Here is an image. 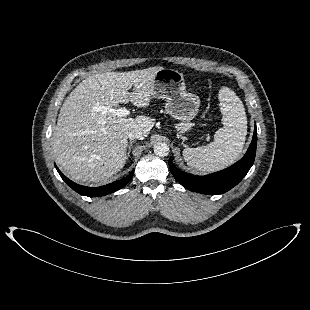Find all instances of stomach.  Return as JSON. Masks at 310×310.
<instances>
[{"label": "stomach", "instance_id": "obj_1", "mask_svg": "<svg viewBox=\"0 0 310 310\" xmlns=\"http://www.w3.org/2000/svg\"><path fill=\"white\" fill-rule=\"evenodd\" d=\"M152 96L166 100L167 113L180 121L175 125L179 133L191 130V120L199 110L200 99L186 91L184 75L181 72L171 68L158 70L154 77Z\"/></svg>", "mask_w": 310, "mask_h": 310}]
</instances>
